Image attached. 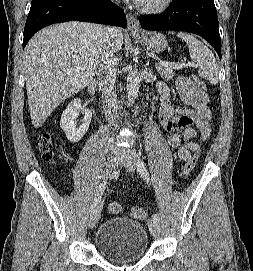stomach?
I'll list each match as a JSON object with an SVG mask.
<instances>
[{
  "mask_svg": "<svg viewBox=\"0 0 253 271\" xmlns=\"http://www.w3.org/2000/svg\"><path fill=\"white\" fill-rule=\"evenodd\" d=\"M135 39L149 51L161 52L168 46L167 40L161 33L157 32H143L141 35L132 34Z\"/></svg>",
  "mask_w": 253,
  "mask_h": 271,
  "instance_id": "1",
  "label": "stomach"
}]
</instances>
